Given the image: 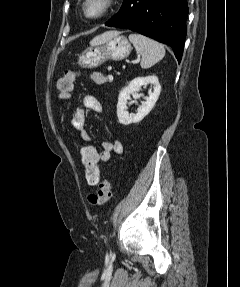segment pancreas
<instances>
[{
  "label": "pancreas",
  "instance_id": "cf45deb5",
  "mask_svg": "<svg viewBox=\"0 0 240 287\" xmlns=\"http://www.w3.org/2000/svg\"><path fill=\"white\" fill-rule=\"evenodd\" d=\"M91 79H92L95 83H97V84H99V85L105 84V83H107V82H110V80H109L107 77L103 76V75L100 74V73H93V74L91 75Z\"/></svg>",
  "mask_w": 240,
  "mask_h": 287
}]
</instances>
